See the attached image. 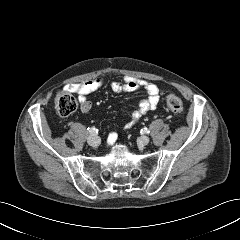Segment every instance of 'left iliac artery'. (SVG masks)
<instances>
[{"label":"left iliac artery","mask_w":240,"mask_h":240,"mask_svg":"<svg viewBox=\"0 0 240 240\" xmlns=\"http://www.w3.org/2000/svg\"><path fill=\"white\" fill-rule=\"evenodd\" d=\"M141 132H142V133H145V134H148L150 131H149V129H147V128H143V129L141 130Z\"/></svg>","instance_id":"left-iliac-artery-1"}]
</instances>
